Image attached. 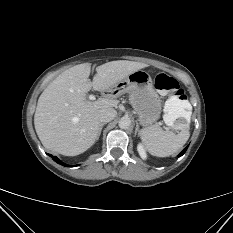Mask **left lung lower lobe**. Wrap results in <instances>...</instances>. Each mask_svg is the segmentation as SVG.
Listing matches in <instances>:
<instances>
[{"label":"left lung lower lobe","instance_id":"left-lung-lower-lobe-1","mask_svg":"<svg viewBox=\"0 0 233 233\" xmlns=\"http://www.w3.org/2000/svg\"><path fill=\"white\" fill-rule=\"evenodd\" d=\"M187 148L188 146L181 151V153L179 154V157L182 156L186 152Z\"/></svg>","mask_w":233,"mask_h":233}]
</instances>
